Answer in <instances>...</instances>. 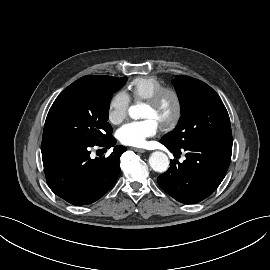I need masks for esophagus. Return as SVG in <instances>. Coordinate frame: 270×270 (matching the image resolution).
<instances>
[{
    "mask_svg": "<svg viewBox=\"0 0 270 270\" xmlns=\"http://www.w3.org/2000/svg\"><path fill=\"white\" fill-rule=\"evenodd\" d=\"M132 150H134L135 152H138V153H144V152H146L145 149H140V148H132Z\"/></svg>",
    "mask_w": 270,
    "mask_h": 270,
    "instance_id": "1",
    "label": "esophagus"
}]
</instances>
